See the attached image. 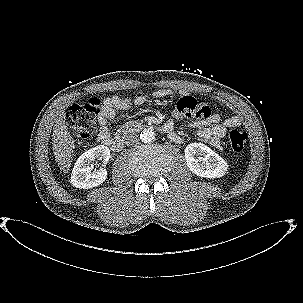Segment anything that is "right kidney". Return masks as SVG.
<instances>
[{"label": "right kidney", "instance_id": "ca27d5eb", "mask_svg": "<svg viewBox=\"0 0 303 303\" xmlns=\"http://www.w3.org/2000/svg\"><path fill=\"white\" fill-rule=\"evenodd\" d=\"M110 158V150L104 145H98L84 152L76 161L72 174L71 184L76 188L88 189L99 186L107 178V170L103 167L94 169L91 164L95 159H103L106 164Z\"/></svg>", "mask_w": 303, "mask_h": 303}]
</instances>
